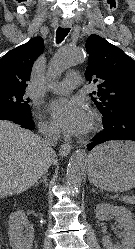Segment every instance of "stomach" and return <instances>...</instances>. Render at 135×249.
<instances>
[{
    "instance_id": "0dacf381",
    "label": "stomach",
    "mask_w": 135,
    "mask_h": 249,
    "mask_svg": "<svg viewBox=\"0 0 135 249\" xmlns=\"http://www.w3.org/2000/svg\"><path fill=\"white\" fill-rule=\"evenodd\" d=\"M88 177L95 186L112 192L135 187V143L111 141L95 148L89 156Z\"/></svg>"
}]
</instances>
